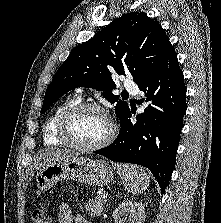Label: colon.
Wrapping results in <instances>:
<instances>
[{
  "label": "colon",
  "instance_id": "5ec220e1",
  "mask_svg": "<svg viewBox=\"0 0 221 223\" xmlns=\"http://www.w3.org/2000/svg\"><path fill=\"white\" fill-rule=\"evenodd\" d=\"M33 223H53L50 211L44 206L35 209L33 212Z\"/></svg>",
  "mask_w": 221,
  "mask_h": 223
}]
</instances>
